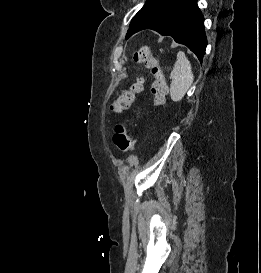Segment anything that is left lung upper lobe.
I'll list each match as a JSON object with an SVG mask.
<instances>
[{
    "label": "left lung upper lobe",
    "instance_id": "obj_1",
    "mask_svg": "<svg viewBox=\"0 0 261 273\" xmlns=\"http://www.w3.org/2000/svg\"><path fill=\"white\" fill-rule=\"evenodd\" d=\"M166 0H147V2L145 3V5L143 6V8L133 17L130 26L139 18L141 17L143 14H145L146 12H148L150 9H152L153 7L165 2Z\"/></svg>",
    "mask_w": 261,
    "mask_h": 273
}]
</instances>
